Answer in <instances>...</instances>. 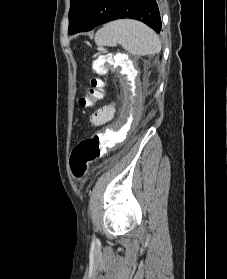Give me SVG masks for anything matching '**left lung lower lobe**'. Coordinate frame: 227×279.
<instances>
[{"instance_id":"0a47b994","label":"left lung lower lobe","mask_w":227,"mask_h":279,"mask_svg":"<svg viewBox=\"0 0 227 279\" xmlns=\"http://www.w3.org/2000/svg\"><path fill=\"white\" fill-rule=\"evenodd\" d=\"M119 18L142 21L157 33L161 30L160 14L155 0H93L77 32H87Z\"/></svg>"}]
</instances>
